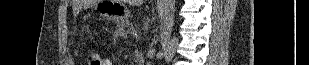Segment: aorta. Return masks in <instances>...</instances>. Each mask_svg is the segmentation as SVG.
<instances>
[{"instance_id":"obj_1","label":"aorta","mask_w":309,"mask_h":65,"mask_svg":"<svg viewBox=\"0 0 309 65\" xmlns=\"http://www.w3.org/2000/svg\"><path fill=\"white\" fill-rule=\"evenodd\" d=\"M175 0H162L159 8L161 22V37L165 44L172 33L174 26Z\"/></svg>"}]
</instances>
